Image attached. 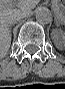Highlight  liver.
<instances>
[{
    "instance_id": "6515ba94",
    "label": "liver",
    "mask_w": 65,
    "mask_h": 89,
    "mask_svg": "<svg viewBox=\"0 0 65 89\" xmlns=\"http://www.w3.org/2000/svg\"><path fill=\"white\" fill-rule=\"evenodd\" d=\"M38 4V0L0 1V55L5 56L11 45V21L20 15H27ZM17 7L15 9L14 7Z\"/></svg>"
}]
</instances>
